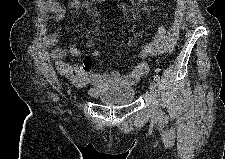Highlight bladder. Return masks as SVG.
Returning a JSON list of instances; mask_svg holds the SVG:
<instances>
[{"mask_svg":"<svg viewBox=\"0 0 225 159\" xmlns=\"http://www.w3.org/2000/svg\"><path fill=\"white\" fill-rule=\"evenodd\" d=\"M135 89L131 86L115 84L101 90L98 100L105 105L123 106L131 104L135 99Z\"/></svg>","mask_w":225,"mask_h":159,"instance_id":"bladder-1","label":"bladder"}]
</instances>
